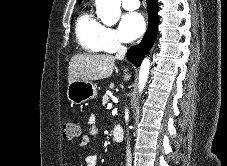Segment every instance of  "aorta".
Listing matches in <instances>:
<instances>
[{"mask_svg": "<svg viewBox=\"0 0 227 166\" xmlns=\"http://www.w3.org/2000/svg\"><path fill=\"white\" fill-rule=\"evenodd\" d=\"M97 15L105 25H114L120 17L121 0H95ZM150 60L145 58L139 72V90L142 91L148 79Z\"/></svg>", "mask_w": 227, "mask_h": 166, "instance_id": "1", "label": "aorta"}]
</instances>
